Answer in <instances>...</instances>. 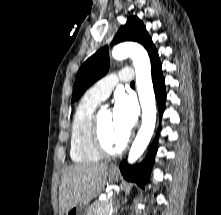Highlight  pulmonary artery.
<instances>
[{
  "instance_id": "1",
  "label": "pulmonary artery",
  "mask_w": 221,
  "mask_h": 215,
  "mask_svg": "<svg viewBox=\"0 0 221 215\" xmlns=\"http://www.w3.org/2000/svg\"><path fill=\"white\" fill-rule=\"evenodd\" d=\"M132 69L125 68L98 81L88 93L98 100H105L118 82L130 83L133 80Z\"/></svg>"
}]
</instances>
